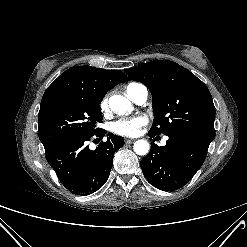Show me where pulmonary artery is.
<instances>
[{
	"label": "pulmonary artery",
	"instance_id": "pulmonary-artery-1",
	"mask_svg": "<svg viewBox=\"0 0 247 247\" xmlns=\"http://www.w3.org/2000/svg\"><path fill=\"white\" fill-rule=\"evenodd\" d=\"M128 97L137 104H143L148 98V90L142 84H136L127 88Z\"/></svg>",
	"mask_w": 247,
	"mask_h": 247
}]
</instances>
